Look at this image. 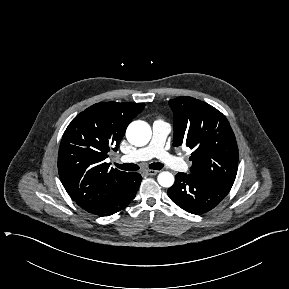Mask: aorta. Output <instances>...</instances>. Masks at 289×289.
<instances>
[{
    "mask_svg": "<svg viewBox=\"0 0 289 289\" xmlns=\"http://www.w3.org/2000/svg\"><path fill=\"white\" fill-rule=\"evenodd\" d=\"M152 136V131L148 123L144 121H133L126 130V137L129 143L141 147L146 145ZM158 183L165 188L174 184V176L167 171L161 172L157 177Z\"/></svg>",
    "mask_w": 289,
    "mask_h": 289,
    "instance_id": "1",
    "label": "aorta"
}]
</instances>
